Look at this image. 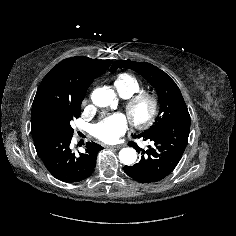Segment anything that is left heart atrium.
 <instances>
[{
  "label": "left heart atrium",
  "instance_id": "obj_1",
  "mask_svg": "<svg viewBox=\"0 0 236 236\" xmlns=\"http://www.w3.org/2000/svg\"><path fill=\"white\" fill-rule=\"evenodd\" d=\"M127 118L116 113L110 115L92 127V134L105 143H115L127 130Z\"/></svg>",
  "mask_w": 236,
  "mask_h": 236
}]
</instances>
